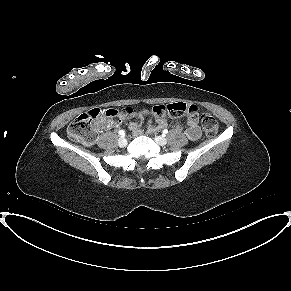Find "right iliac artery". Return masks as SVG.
Instances as JSON below:
<instances>
[{
	"label": "right iliac artery",
	"instance_id": "82829eb1",
	"mask_svg": "<svg viewBox=\"0 0 291 291\" xmlns=\"http://www.w3.org/2000/svg\"><path fill=\"white\" fill-rule=\"evenodd\" d=\"M119 135L124 136L125 135V131L124 130H120L119 131Z\"/></svg>",
	"mask_w": 291,
	"mask_h": 291
}]
</instances>
